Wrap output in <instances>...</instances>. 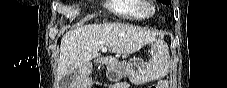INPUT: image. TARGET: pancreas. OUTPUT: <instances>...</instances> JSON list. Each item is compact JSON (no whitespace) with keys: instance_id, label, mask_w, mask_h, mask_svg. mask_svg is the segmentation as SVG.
Here are the masks:
<instances>
[{"instance_id":"cf45deb5","label":"pancreas","mask_w":227,"mask_h":88,"mask_svg":"<svg viewBox=\"0 0 227 88\" xmlns=\"http://www.w3.org/2000/svg\"><path fill=\"white\" fill-rule=\"evenodd\" d=\"M126 57H127V55H126V54H123V55H122V58H126Z\"/></svg>"}]
</instances>
